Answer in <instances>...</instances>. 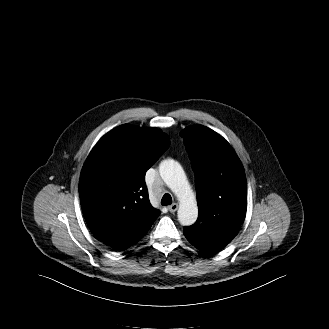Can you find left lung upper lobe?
Returning a JSON list of instances; mask_svg holds the SVG:
<instances>
[{
  "instance_id": "left-lung-upper-lobe-1",
  "label": "left lung upper lobe",
  "mask_w": 329,
  "mask_h": 329,
  "mask_svg": "<svg viewBox=\"0 0 329 329\" xmlns=\"http://www.w3.org/2000/svg\"><path fill=\"white\" fill-rule=\"evenodd\" d=\"M195 173L199 216L186 227L193 240H214L222 231L238 232L247 210L243 165L230 144L215 131L193 125L181 131Z\"/></svg>"
}]
</instances>
